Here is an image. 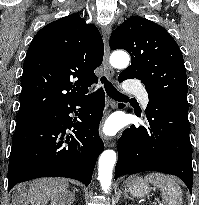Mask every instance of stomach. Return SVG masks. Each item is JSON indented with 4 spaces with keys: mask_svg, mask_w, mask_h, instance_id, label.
<instances>
[{
    "mask_svg": "<svg viewBox=\"0 0 199 205\" xmlns=\"http://www.w3.org/2000/svg\"><path fill=\"white\" fill-rule=\"evenodd\" d=\"M127 190L133 197L142 198L148 195L152 188L144 178L134 177L128 182Z\"/></svg>",
    "mask_w": 199,
    "mask_h": 205,
    "instance_id": "0dacf381",
    "label": "stomach"
}]
</instances>
